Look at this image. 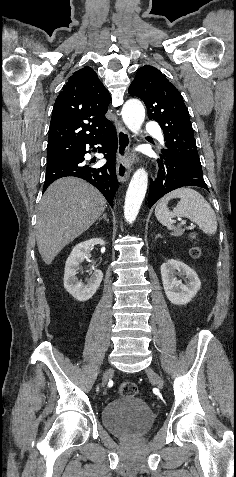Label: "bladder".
<instances>
[{"label":"bladder","mask_w":236,"mask_h":477,"mask_svg":"<svg viewBox=\"0 0 236 477\" xmlns=\"http://www.w3.org/2000/svg\"><path fill=\"white\" fill-rule=\"evenodd\" d=\"M104 427L119 437L141 438L152 428L155 415L147 403L136 396H119L101 411Z\"/></svg>","instance_id":"obj_1"}]
</instances>
